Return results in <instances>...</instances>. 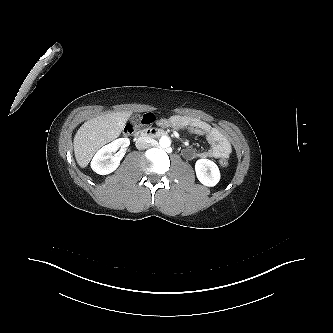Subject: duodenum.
Wrapping results in <instances>:
<instances>
[{
	"mask_svg": "<svg viewBox=\"0 0 333 333\" xmlns=\"http://www.w3.org/2000/svg\"><path fill=\"white\" fill-rule=\"evenodd\" d=\"M165 135L166 133L161 129H142L134 134V138L136 144L141 145L149 139H154Z\"/></svg>",
	"mask_w": 333,
	"mask_h": 333,
	"instance_id": "duodenum-1",
	"label": "duodenum"
}]
</instances>
